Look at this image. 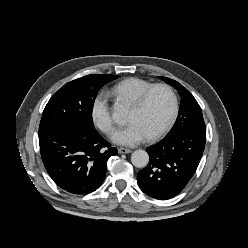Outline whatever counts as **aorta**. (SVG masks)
<instances>
[{
	"label": "aorta",
	"mask_w": 248,
	"mask_h": 248,
	"mask_svg": "<svg viewBox=\"0 0 248 248\" xmlns=\"http://www.w3.org/2000/svg\"><path fill=\"white\" fill-rule=\"evenodd\" d=\"M126 112L125 106L116 102L113 106V118L117 121L123 119ZM131 162L137 168H144L149 162V155L145 150H136L131 154Z\"/></svg>",
	"instance_id": "aorta-1"
}]
</instances>
